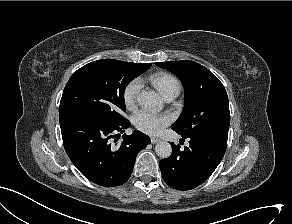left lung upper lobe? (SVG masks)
I'll return each mask as SVG.
<instances>
[{
	"label": "left lung upper lobe",
	"instance_id": "1",
	"mask_svg": "<svg viewBox=\"0 0 292 224\" xmlns=\"http://www.w3.org/2000/svg\"><path fill=\"white\" fill-rule=\"evenodd\" d=\"M178 76L185 90V108L172 125L184 137L228 139V96L219 79L204 66L189 60L157 62Z\"/></svg>",
	"mask_w": 292,
	"mask_h": 224
}]
</instances>
